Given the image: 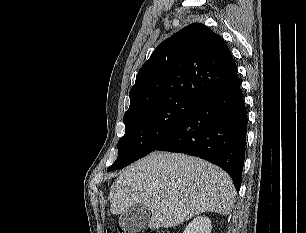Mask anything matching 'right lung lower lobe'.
Returning a JSON list of instances; mask_svg holds the SVG:
<instances>
[{
	"label": "right lung lower lobe",
	"instance_id": "right-lung-lower-lobe-1",
	"mask_svg": "<svg viewBox=\"0 0 306 233\" xmlns=\"http://www.w3.org/2000/svg\"><path fill=\"white\" fill-rule=\"evenodd\" d=\"M247 111L240 82L202 102L153 151L197 156L224 169L239 191L245 156Z\"/></svg>",
	"mask_w": 306,
	"mask_h": 233
}]
</instances>
